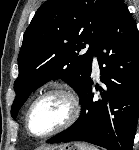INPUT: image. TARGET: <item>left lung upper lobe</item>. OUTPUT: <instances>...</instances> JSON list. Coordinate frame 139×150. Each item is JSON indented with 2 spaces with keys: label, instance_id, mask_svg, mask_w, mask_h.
I'll use <instances>...</instances> for the list:
<instances>
[{
  "label": "left lung upper lobe",
  "instance_id": "5c2ea615",
  "mask_svg": "<svg viewBox=\"0 0 139 150\" xmlns=\"http://www.w3.org/2000/svg\"><path fill=\"white\" fill-rule=\"evenodd\" d=\"M115 1L48 0L40 6L24 33L18 56L13 118L35 89L54 78L81 93ZM86 45L88 51L79 55Z\"/></svg>",
  "mask_w": 139,
  "mask_h": 150
}]
</instances>
